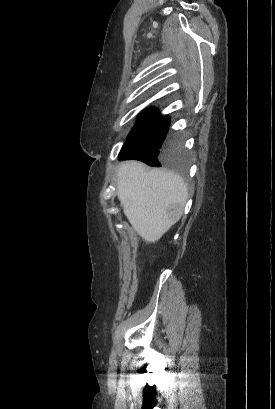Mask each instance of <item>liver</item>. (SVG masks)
Returning a JSON list of instances; mask_svg holds the SVG:
<instances>
[{"label": "liver", "instance_id": "liver-1", "mask_svg": "<svg viewBox=\"0 0 275 409\" xmlns=\"http://www.w3.org/2000/svg\"><path fill=\"white\" fill-rule=\"evenodd\" d=\"M116 194L125 217L146 243H157L175 225L167 211L184 207L187 186L173 170H145L143 162L124 160L117 170Z\"/></svg>", "mask_w": 275, "mask_h": 409}]
</instances>
